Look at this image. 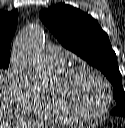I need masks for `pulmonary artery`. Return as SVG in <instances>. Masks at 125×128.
Returning <instances> with one entry per match:
<instances>
[{"label": "pulmonary artery", "mask_w": 125, "mask_h": 128, "mask_svg": "<svg viewBox=\"0 0 125 128\" xmlns=\"http://www.w3.org/2000/svg\"><path fill=\"white\" fill-rule=\"evenodd\" d=\"M66 57L65 50L60 47L51 46L45 51L46 61L53 68H63L66 63Z\"/></svg>", "instance_id": "pulmonary-artery-1"}]
</instances>
